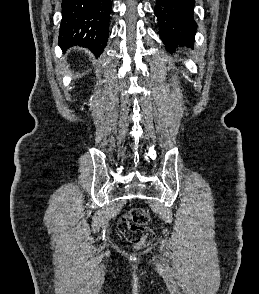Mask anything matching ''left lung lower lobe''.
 I'll use <instances>...</instances> for the list:
<instances>
[{
	"mask_svg": "<svg viewBox=\"0 0 259 294\" xmlns=\"http://www.w3.org/2000/svg\"><path fill=\"white\" fill-rule=\"evenodd\" d=\"M194 0H156L160 37L173 52L178 46H192L197 24L193 18Z\"/></svg>",
	"mask_w": 259,
	"mask_h": 294,
	"instance_id": "obj_1",
	"label": "left lung lower lobe"
}]
</instances>
